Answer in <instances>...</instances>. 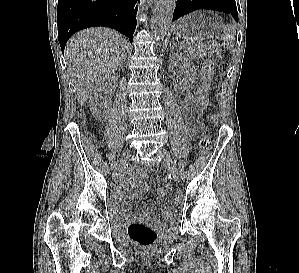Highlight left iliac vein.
<instances>
[{"label":"left iliac vein","instance_id":"4c4485c4","mask_svg":"<svg viewBox=\"0 0 299 273\" xmlns=\"http://www.w3.org/2000/svg\"><path fill=\"white\" fill-rule=\"evenodd\" d=\"M158 154L164 156L165 158V161H164V164L165 166L169 169L173 179L176 181V182H179L180 181V174H179V171L178 169L176 168L170 154L168 151H166L165 149H160L158 151Z\"/></svg>","mask_w":299,"mask_h":273}]
</instances>
